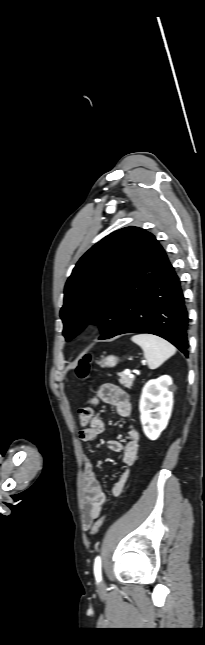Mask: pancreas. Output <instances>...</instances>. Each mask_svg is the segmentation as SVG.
I'll use <instances>...</instances> for the list:
<instances>
[{
	"instance_id": "obj_1",
	"label": "pancreas",
	"mask_w": 205,
	"mask_h": 645,
	"mask_svg": "<svg viewBox=\"0 0 205 645\" xmlns=\"http://www.w3.org/2000/svg\"><path fill=\"white\" fill-rule=\"evenodd\" d=\"M118 376L120 377L119 382L126 388H130L133 384L134 377H130L129 375L125 374L124 372L118 373Z\"/></svg>"
}]
</instances>
